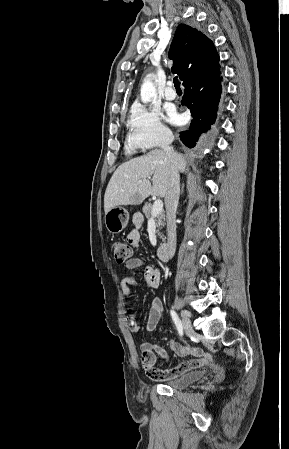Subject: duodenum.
<instances>
[{
    "label": "duodenum",
    "mask_w": 289,
    "mask_h": 449,
    "mask_svg": "<svg viewBox=\"0 0 289 449\" xmlns=\"http://www.w3.org/2000/svg\"><path fill=\"white\" fill-rule=\"evenodd\" d=\"M157 256L161 261H167L169 258V246L166 243L159 245Z\"/></svg>",
    "instance_id": "1"
}]
</instances>
